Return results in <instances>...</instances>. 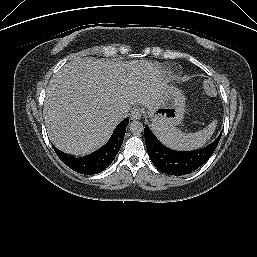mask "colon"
<instances>
[{
    "label": "colon",
    "instance_id": "1",
    "mask_svg": "<svg viewBox=\"0 0 257 257\" xmlns=\"http://www.w3.org/2000/svg\"><path fill=\"white\" fill-rule=\"evenodd\" d=\"M202 88H203L204 95L208 101H211L215 98L216 88L210 80H205L203 82Z\"/></svg>",
    "mask_w": 257,
    "mask_h": 257
}]
</instances>
